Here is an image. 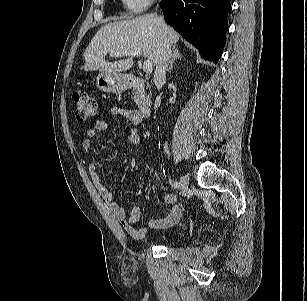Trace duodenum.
<instances>
[{
	"instance_id": "1",
	"label": "duodenum",
	"mask_w": 307,
	"mask_h": 301,
	"mask_svg": "<svg viewBox=\"0 0 307 301\" xmlns=\"http://www.w3.org/2000/svg\"><path fill=\"white\" fill-rule=\"evenodd\" d=\"M130 87L135 89L138 94L137 108L141 117L147 118L152 111L151 102L145 97V81L142 77L133 75L129 80Z\"/></svg>"
}]
</instances>
